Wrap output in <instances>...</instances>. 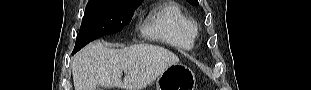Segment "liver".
I'll list each match as a JSON object with an SVG mask.
<instances>
[{"instance_id": "1", "label": "liver", "mask_w": 311, "mask_h": 90, "mask_svg": "<svg viewBox=\"0 0 311 90\" xmlns=\"http://www.w3.org/2000/svg\"><path fill=\"white\" fill-rule=\"evenodd\" d=\"M178 62L174 53L151 44L110 49L100 42L90 43L73 58L74 88L96 90L97 86H103L142 90ZM122 72L125 73L123 82Z\"/></svg>"}]
</instances>
